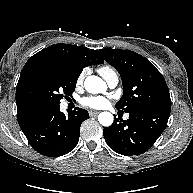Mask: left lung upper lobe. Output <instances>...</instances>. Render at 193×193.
I'll use <instances>...</instances> for the list:
<instances>
[{
    "label": "left lung upper lobe",
    "instance_id": "left-lung-upper-lobe-1",
    "mask_svg": "<svg viewBox=\"0 0 193 193\" xmlns=\"http://www.w3.org/2000/svg\"><path fill=\"white\" fill-rule=\"evenodd\" d=\"M98 53L120 74L123 96L117 109L132 113L162 104H171L162 74L143 56L120 49H101Z\"/></svg>",
    "mask_w": 193,
    "mask_h": 193
}]
</instances>
